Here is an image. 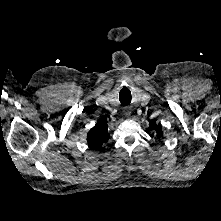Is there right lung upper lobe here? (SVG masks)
I'll return each instance as SVG.
<instances>
[{
  "label": "right lung upper lobe",
  "mask_w": 221,
  "mask_h": 221,
  "mask_svg": "<svg viewBox=\"0 0 221 221\" xmlns=\"http://www.w3.org/2000/svg\"><path fill=\"white\" fill-rule=\"evenodd\" d=\"M109 139L108 125L100 120L90 130L87 142L90 148L99 150Z\"/></svg>",
  "instance_id": "cb5924a9"
}]
</instances>
